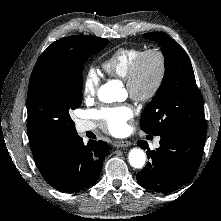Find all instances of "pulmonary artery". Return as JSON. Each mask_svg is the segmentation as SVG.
<instances>
[{"mask_svg": "<svg viewBox=\"0 0 221 221\" xmlns=\"http://www.w3.org/2000/svg\"><path fill=\"white\" fill-rule=\"evenodd\" d=\"M93 128H94V124L89 121L79 120L76 122V129L79 133L90 131ZM156 145H158V141L156 142Z\"/></svg>", "mask_w": 221, "mask_h": 221, "instance_id": "obj_1", "label": "pulmonary artery"}]
</instances>
